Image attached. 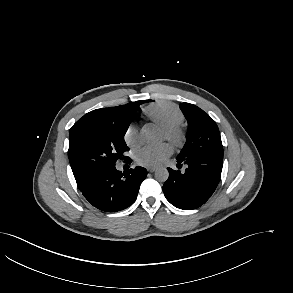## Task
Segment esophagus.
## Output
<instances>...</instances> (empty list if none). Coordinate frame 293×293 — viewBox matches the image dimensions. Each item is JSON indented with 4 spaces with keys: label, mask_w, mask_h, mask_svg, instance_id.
<instances>
[{
    "label": "esophagus",
    "mask_w": 293,
    "mask_h": 293,
    "mask_svg": "<svg viewBox=\"0 0 293 293\" xmlns=\"http://www.w3.org/2000/svg\"><path fill=\"white\" fill-rule=\"evenodd\" d=\"M156 169H157L156 167H147L148 172H155Z\"/></svg>",
    "instance_id": "1"
}]
</instances>
